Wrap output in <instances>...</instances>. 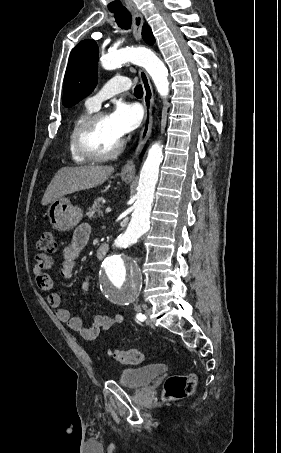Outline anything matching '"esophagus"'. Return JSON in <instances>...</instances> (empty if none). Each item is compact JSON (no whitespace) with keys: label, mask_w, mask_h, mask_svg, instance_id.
I'll return each instance as SVG.
<instances>
[{"label":"esophagus","mask_w":281,"mask_h":453,"mask_svg":"<svg viewBox=\"0 0 281 453\" xmlns=\"http://www.w3.org/2000/svg\"><path fill=\"white\" fill-rule=\"evenodd\" d=\"M132 18H133V35L135 40H140L141 38V31L143 26V16L142 13L138 9L130 10ZM139 77L142 83V87L144 90L143 96V105H144V119L142 123V128L139 136V141L137 144V148L131 160L122 167L121 173L124 175H133L135 174V159L138 157L141 150L144 148L145 143L147 142L151 129H152V109H153V88L150 83L149 77L145 70H139Z\"/></svg>","instance_id":"1"}]
</instances>
